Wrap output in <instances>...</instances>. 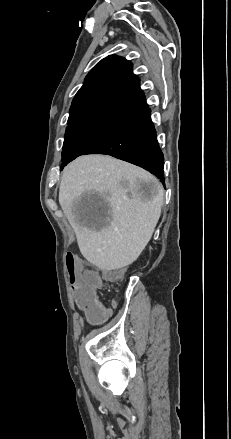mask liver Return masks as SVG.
I'll return each mask as SVG.
<instances>
[{
  "mask_svg": "<svg viewBox=\"0 0 231 439\" xmlns=\"http://www.w3.org/2000/svg\"><path fill=\"white\" fill-rule=\"evenodd\" d=\"M85 194L101 198L107 213L84 215ZM163 202L164 189L155 176L107 155L78 157L62 174L59 204L81 254L101 270H117L137 260L152 237Z\"/></svg>",
  "mask_w": 231,
  "mask_h": 439,
  "instance_id": "1",
  "label": "liver"
}]
</instances>
